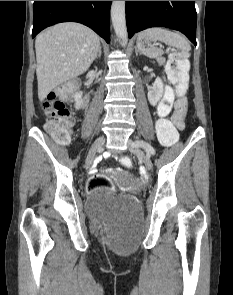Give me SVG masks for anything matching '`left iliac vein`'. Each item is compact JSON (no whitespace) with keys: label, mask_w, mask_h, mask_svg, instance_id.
<instances>
[{"label":"left iliac vein","mask_w":233,"mask_h":295,"mask_svg":"<svg viewBox=\"0 0 233 295\" xmlns=\"http://www.w3.org/2000/svg\"><path fill=\"white\" fill-rule=\"evenodd\" d=\"M135 141H132V140L129 141L130 151L142 159L147 170H151L153 168V164L150 159V156L148 154H145L143 152V150L141 149L142 147L140 145H136L134 143ZM143 148H145V147H143Z\"/></svg>","instance_id":"4c4485c4"}]
</instances>
